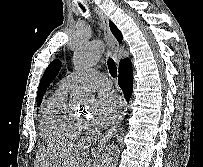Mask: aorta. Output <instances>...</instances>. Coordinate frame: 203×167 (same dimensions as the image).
I'll use <instances>...</instances> for the list:
<instances>
[{
    "mask_svg": "<svg viewBox=\"0 0 203 167\" xmlns=\"http://www.w3.org/2000/svg\"><path fill=\"white\" fill-rule=\"evenodd\" d=\"M105 46L100 41H91L81 43L74 53V65L77 69H86L95 65L103 56ZM75 96L78 101L86 103L91 100V94L85 88L79 87L75 90ZM119 148L115 144L109 145L105 149L100 167H116Z\"/></svg>",
    "mask_w": 203,
    "mask_h": 167,
    "instance_id": "1",
    "label": "aorta"
}]
</instances>
